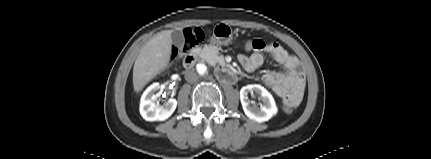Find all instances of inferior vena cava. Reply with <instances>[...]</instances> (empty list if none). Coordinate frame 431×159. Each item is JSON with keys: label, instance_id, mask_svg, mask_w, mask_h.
I'll return each mask as SVG.
<instances>
[{"label": "inferior vena cava", "instance_id": "inferior-vena-cava-1", "mask_svg": "<svg viewBox=\"0 0 431 159\" xmlns=\"http://www.w3.org/2000/svg\"><path fill=\"white\" fill-rule=\"evenodd\" d=\"M198 75L194 70H189L185 73V79L187 82L196 83L198 81Z\"/></svg>", "mask_w": 431, "mask_h": 159}]
</instances>
